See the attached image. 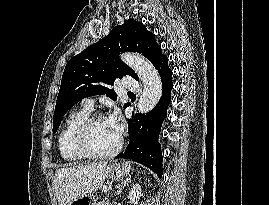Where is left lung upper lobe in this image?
<instances>
[{"mask_svg": "<svg viewBox=\"0 0 269 205\" xmlns=\"http://www.w3.org/2000/svg\"><path fill=\"white\" fill-rule=\"evenodd\" d=\"M125 51L142 54L154 66L164 56L154 34L148 32L142 23L128 19L114 27L106 37L67 63L55 106L53 133L65 113L83 98L106 94L116 100V93L108 88L116 78L130 75L139 81L137 74L119 58V54ZM127 106L128 103L124 105Z\"/></svg>", "mask_w": 269, "mask_h": 205, "instance_id": "5c2ea615", "label": "left lung upper lobe"}]
</instances>
